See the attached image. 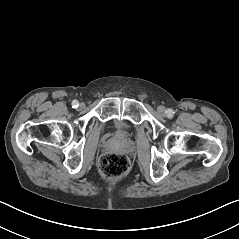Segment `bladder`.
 Segmentation results:
<instances>
[{"label":"bladder","mask_w":239,"mask_h":239,"mask_svg":"<svg viewBox=\"0 0 239 239\" xmlns=\"http://www.w3.org/2000/svg\"><path fill=\"white\" fill-rule=\"evenodd\" d=\"M116 129H117V134L119 136H125L127 133L126 131L123 130L124 128L122 127V124L120 123L117 124Z\"/></svg>","instance_id":"bladder-1"}]
</instances>
